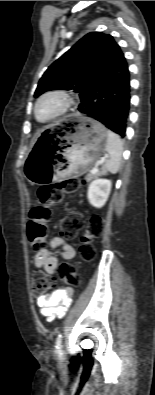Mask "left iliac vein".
I'll use <instances>...</instances> for the list:
<instances>
[{"instance_id": "1", "label": "left iliac vein", "mask_w": 155, "mask_h": 395, "mask_svg": "<svg viewBox=\"0 0 155 395\" xmlns=\"http://www.w3.org/2000/svg\"><path fill=\"white\" fill-rule=\"evenodd\" d=\"M59 355H60V359L63 360V351L61 349L59 350Z\"/></svg>"}]
</instances>
